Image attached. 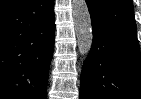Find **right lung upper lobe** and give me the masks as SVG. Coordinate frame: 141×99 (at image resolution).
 Wrapping results in <instances>:
<instances>
[{
    "instance_id": "1",
    "label": "right lung upper lobe",
    "mask_w": 141,
    "mask_h": 99,
    "mask_svg": "<svg viewBox=\"0 0 141 99\" xmlns=\"http://www.w3.org/2000/svg\"><path fill=\"white\" fill-rule=\"evenodd\" d=\"M20 0H0V10L6 9Z\"/></svg>"
}]
</instances>
